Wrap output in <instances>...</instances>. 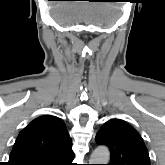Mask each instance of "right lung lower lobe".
Here are the masks:
<instances>
[{"mask_svg": "<svg viewBox=\"0 0 165 165\" xmlns=\"http://www.w3.org/2000/svg\"><path fill=\"white\" fill-rule=\"evenodd\" d=\"M74 153L72 151V144L65 147V149L46 165H74L72 163Z\"/></svg>", "mask_w": 165, "mask_h": 165, "instance_id": "right-lung-lower-lobe-1", "label": "right lung lower lobe"}]
</instances>
